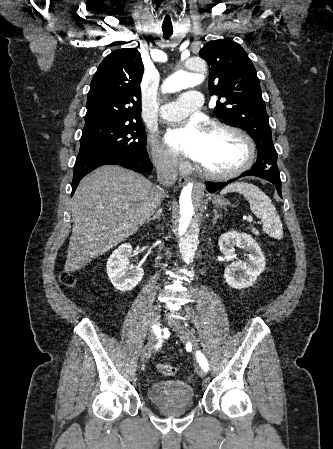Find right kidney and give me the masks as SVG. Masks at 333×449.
Returning <instances> with one entry per match:
<instances>
[{"instance_id": "ca27d5eb", "label": "right kidney", "mask_w": 333, "mask_h": 449, "mask_svg": "<svg viewBox=\"0 0 333 449\" xmlns=\"http://www.w3.org/2000/svg\"><path fill=\"white\" fill-rule=\"evenodd\" d=\"M132 252L130 244L120 246L109 256L107 274L112 285L119 291L132 290L141 281L144 270L141 266L129 268V256Z\"/></svg>"}]
</instances>
